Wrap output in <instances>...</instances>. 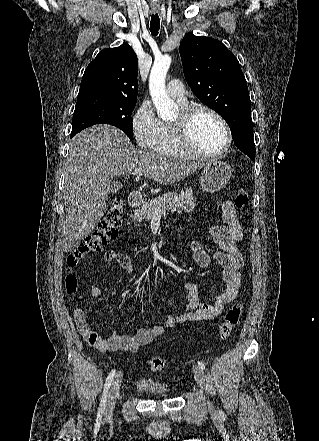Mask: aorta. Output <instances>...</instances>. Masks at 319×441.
Wrapping results in <instances>:
<instances>
[{"mask_svg":"<svg viewBox=\"0 0 319 441\" xmlns=\"http://www.w3.org/2000/svg\"><path fill=\"white\" fill-rule=\"evenodd\" d=\"M171 64V57L162 55L155 59L149 78V90L158 115L165 120L174 117L177 105L169 98L165 78Z\"/></svg>","mask_w":319,"mask_h":441,"instance_id":"obj_1","label":"aorta"}]
</instances>
